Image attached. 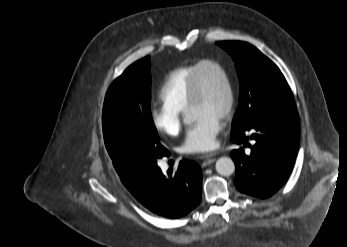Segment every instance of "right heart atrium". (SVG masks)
Here are the masks:
<instances>
[{
	"label": "right heart atrium",
	"instance_id": "obj_1",
	"mask_svg": "<svg viewBox=\"0 0 347 247\" xmlns=\"http://www.w3.org/2000/svg\"><path fill=\"white\" fill-rule=\"evenodd\" d=\"M150 119L153 127L167 136H176L181 129V112L164 104L150 109Z\"/></svg>",
	"mask_w": 347,
	"mask_h": 247
}]
</instances>
